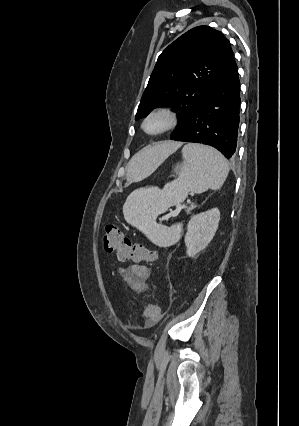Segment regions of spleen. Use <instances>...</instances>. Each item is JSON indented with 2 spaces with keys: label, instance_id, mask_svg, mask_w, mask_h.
Wrapping results in <instances>:
<instances>
[{
  "label": "spleen",
  "instance_id": "1",
  "mask_svg": "<svg viewBox=\"0 0 299 426\" xmlns=\"http://www.w3.org/2000/svg\"><path fill=\"white\" fill-rule=\"evenodd\" d=\"M182 155L184 162L177 179L165 184L163 189L153 186L137 189L123 205L125 220L160 247L176 243L181 236L182 225L167 227L157 224V216L170 206L183 202L188 192L199 194L221 188L229 173L227 160L212 147L190 143L183 147ZM194 207V204L191 205L187 212Z\"/></svg>",
  "mask_w": 299,
  "mask_h": 426
}]
</instances>
